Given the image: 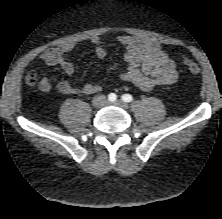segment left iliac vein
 Wrapping results in <instances>:
<instances>
[{
    "label": "left iliac vein",
    "instance_id": "1",
    "mask_svg": "<svg viewBox=\"0 0 222 219\" xmlns=\"http://www.w3.org/2000/svg\"><path fill=\"white\" fill-rule=\"evenodd\" d=\"M114 104L118 105V106H120L122 108H127V103H125L123 101H116Z\"/></svg>",
    "mask_w": 222,
    "mask_h": 219
}]
</instances>
